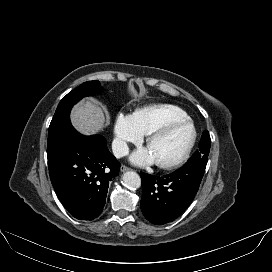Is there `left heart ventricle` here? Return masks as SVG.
Instances as JSON below:
<instances>
[{
    "instance_id": "1",
    "label": "left heart ventricle",
    "mask_w": 272,
    "mask_h": 272,
    "mask_svg": "<svg viewBox=\"0 0 272 272\" xmlns=\"http://www.w3.org/2000/svg\"><path fill=\"white\" fill-rule=\"evenodd\" d=\"M190 138V127L187 125H178L154 139L149 144L148 149L156 162H171L184 152Z\"/></svg>"
}]
</instances>
